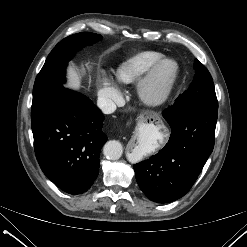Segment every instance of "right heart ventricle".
Segmentation results:
<instances>
[{
    "mask_svg": "<svg viewBox=\"0 0 247 247\" xmlns=\"http://www.w3.org/2000/svg\"><path fill=\"white\" fill-rule=\"evenodd\" d=\"M163 55L156 51L137 52L124 59L115 71V77L121 84L127 85L139 81L150 67Z\"/></svg>",
    "mask_w": 247,
    "mask_h": 247,
    "instance_id": "e07e8e85",
    "label": "right heart ventricle"
}]
</instances>
